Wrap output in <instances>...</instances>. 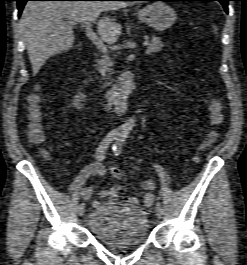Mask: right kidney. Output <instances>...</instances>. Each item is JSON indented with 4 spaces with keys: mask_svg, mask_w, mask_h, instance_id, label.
<instances>
[{
    "mask_svg": "<svg viewBox=\"0 0 247 265\" xmlns=\"http://www.w3.org/2000/svg\"><path fill=\"white\" fill-rule=\"evenodd\" d=\"M86 96L82 93L79 92L78 95L75 96L72 102V106L78 110L83 108V104L81 102L85 101Z\"/></svg>",
    "mask_w": 247,
    "mask_h": 265,
    "instance_id": "right-kidney-1",
    "label": "right kidney"
}]
</instances>
